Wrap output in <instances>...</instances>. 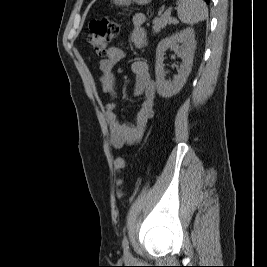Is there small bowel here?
<instances>
[{"label":"small bowel","mask_w":267,"mask_h":267,"mask_svg":"<svg viewBox=\"0 0 267 267\" xmlns=\"http://www.w3.org/2000/svg\"><path fill=\"white\" fill-rule=\"evenodd\" d=\"M146 16L143 13L133 15L131 25V43L136 48H142L146 43V31L144 24ZM124 58L121 47H111L106 56L100 61V82L103 91L109 96L110 101L105 105V118L107 120L110 141L114 148L132 146L141 141L147 125L154 115L155 84L151 77L149 66L144 60H136L132 64L135 75L134 93L143 97L141 108L133 123H121L115 113L118 91L114 66Z\"/></svg>","instance_id":"1"}]
</instances>
